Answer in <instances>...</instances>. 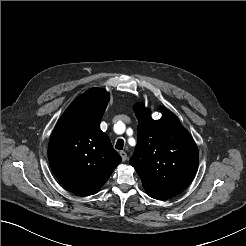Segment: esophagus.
<instances>
[{
  "instance_id": "34e87169",
  "label": "esophagus",
  "mask_w": 246,
  "mask_h": 246,
  "mask_svg": "<svg viewBox=\"0 0 246 246\" xmlns=\"http://www.w3.org/2000/svg\"><path fill=\"white\" fill-rule=\"evenodd\" d=\"M119 154H120L123 162L127 160V154L125 151H120Z\"/></svg>"
}]
</instances>
